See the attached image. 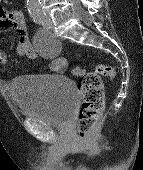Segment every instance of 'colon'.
<instances>
[{
	"label": "colon",
	"mask_w": 143,
	"mask_h": 170,
	"mask_svg": "<svg viewBox=\"0 0 143 170\" xmlns=\"http://www.w3.org/2000/svg\"><path fill=\"white\" fill-rule=\"evenodd\" d=\"M66 69V60L59 61L58 72ZM73 75L78 77V90L81 96V107L78 114L77 131L81 139H88L91 130L101 119L104 109V89L101 77H114L111 66L97 64L92 71L75 67Z\"/></svg>",
	"instance_id": "obj_1"
}]
</instances>
